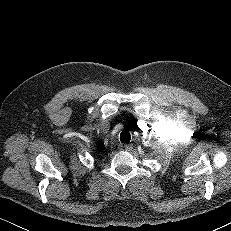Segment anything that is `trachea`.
<instances>
[{
  "mask_svg": "<svg viewBox=\"0 0 231 231\" xmlns=\"http://www.w3.org/2000/svg\"><path fill=\"white\" fill-rule=\"evenodd\" d=\"M131 140V135L127 130H123L120 134V141L122 143L128 144Z\"/></svg>",
  "mask_w": 231,
  "mask_h": 231,
  "instance_id": "3493384b",
  "label": "trachea"
}]
</instances>
